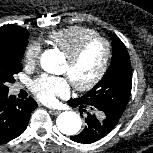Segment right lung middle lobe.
Listing matches in <instances>:
<instances>
[{
    "label": "right lung middle lobe",
    "instance_id": "dd1d6c3e",
    "mask_svg": "<svg viewBox=\"0 0 153 153\" xmlns=\"http://www.w3.org/2000/svg\"><path fill=\"white\" fill-rule=\"evenodd\" d=\"M28 43V38L0 42V93L9 91L7 85L14 83V74L22 71L21 59Z\"/></svg>",
    "mask_w": 153,
    "mask_h": 153
}]
</instances>
